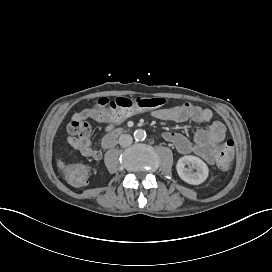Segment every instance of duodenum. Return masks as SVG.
Wrapping results in <instances>:
<instances>
[{"label":"duodenum","mask_w":272,"mask_h":272,"mask_svg":"<svg viewBox=\"0 0 272 272\" xmlns=\"http://www.w3.org/2000/svg\"><path fill=\"white\" fill-rule=\"evenodd\" d=\"M124 131L122 129H117L108 132L102 140V145L105 148H110L114 145L116 138L121 135Z\"/></svg>","instance_id":"410a0bca"}]
</instances>
